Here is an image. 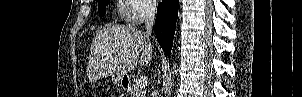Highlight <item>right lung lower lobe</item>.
I'll list each match as a JSON object with an SVG mask.
<instances>
[{
  "instance_id": "98d812e1",
  "label": "right lung lower lobe",
  "mask_w": 302,
  "mask_h": 97,
  "mask_svg": "<svg viewBox=\"0 0 302 97\" xmlns=\"http://www.w3.org/2000/svg\"><path fill=\"white\" fill-rule=\"evenodd\" d=\"M178 16V0H162L157 8L155 33L158 43L168 56L172 49Z\"/></svg>"
}]
</instances>
